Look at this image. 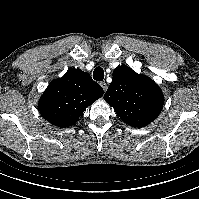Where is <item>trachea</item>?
<instances>
[{
  "label": "trachea",
  "instance_id": "obj_1",
  "mask_svg": "<svg viewBox=\"0 0 199 199\" xmlns=\"http://www.w3.org/2000/svg\"><path fill=\"white\" fill-rule=\"evenodd\" d=\"M93 78L96 81H102L104 79V70L101 67H96L93 72Z\"/></svg>",
  "mask_w": 199,
  "mask_h": 199
}]
</instances>
